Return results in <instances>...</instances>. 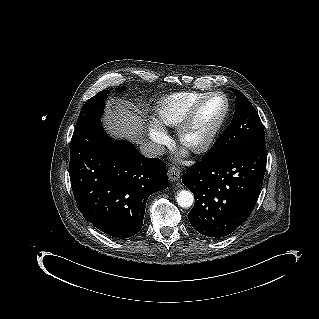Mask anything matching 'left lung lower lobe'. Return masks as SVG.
<instances>
[{
	"label": "left lung lower lobe",
	"instance_id": "obj_1",
	"mask_svg": "<svg viewBox=\"0 0 319 319\" xmlns=\"http://www.w3.org/2000/svg\"><path fill=\"white\" fill-rule=\"evenodd\" d=\"M266 162L261 144L215 160L203 158L186 170L182 182L195 196L188 219L201 236L222 238L245 222L258 199Z\"/></svg>",
	"mask_w": 319,
	"mask_h": 319
}]
</instances>
